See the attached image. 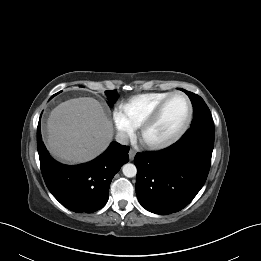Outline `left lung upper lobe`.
Wrapping results in <instances>:
<instances>
[{
  "mask_svg": "<svg viewBox=\"0 0 261 261\" xmlns=\"http://www.w3.org/2000/svg\"><path fill=\"white\" fill-rule=\"evenodd\" d=\"M180 90L184 91L189 96L194 108L191 127H205L215 129L210 110L204 100L197 94L183 89Z\"/></svg>",
  "mask_w": 261,
  "mask_h": 261,
  "instance_id": "obj_1",
  "label": "left lung upper lobe"
}]
</instances>
